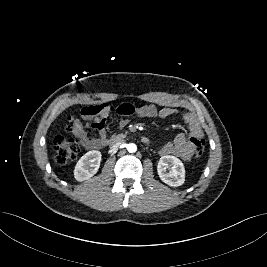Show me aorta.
Returning <instances> with one entry per match:
<instances>
[{"instance_id": "1", "label": "aorta", "mask_w": 267, "mask_h": 267, "mask_svg": "<svg viewBox=\"0 0 267 267\" xmlns=\"http://www.w3.org/2000/svg\"><path fill=\"white\" fill-rule=\"evenodd\" d=\"M127 150H128V152H130V153H134V152H136V151H137V146H136V144H134V143H130V144H128V145H127Z\"/></svg>"}]
</instances>
